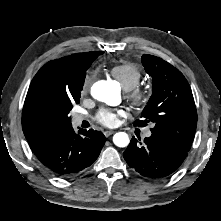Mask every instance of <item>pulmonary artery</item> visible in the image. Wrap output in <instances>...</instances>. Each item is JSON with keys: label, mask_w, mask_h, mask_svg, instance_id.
<instances>
[{"label": "pulmonary artery", "mask_w": 221, "mask_h": 221, "mask_svg": "<svg viewBox=\"0 0 221 221\" xmlns=\"http://www.w3.org/2000/svg\"><path fill=\"white\" fill-rule=\"evenodd\" d=\"M84 120H86V116H84V115L76 114L73 116V122L75 124H81ZM150 135H151L150 130L145 131V133H144L145 137H150Z\"/></svg>", "instance_id": "obj_1"}]
</instances>
